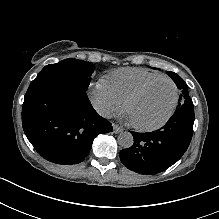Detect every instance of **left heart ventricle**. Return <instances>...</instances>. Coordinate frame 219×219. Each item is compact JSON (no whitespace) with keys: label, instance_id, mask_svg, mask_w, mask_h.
I'll return each instance as SVG.
<instances>
[{"label":"left heart ventricle","instance_id":"b2bd125f","mask_svg":"<svg viewBox=\"0 0 219 219\" xmlns=\"http://www.w3.org/2000/svg\"><path fill=\"white\" fill-rule=\"evenodd\" d=\"M173 96L172 84L168 81H160L131 104L128 111L129 118L141 125L157 123L165 115Z\"/></svg>","mask_w":219,"mask_h":219}]
</instances>
